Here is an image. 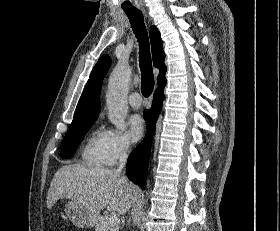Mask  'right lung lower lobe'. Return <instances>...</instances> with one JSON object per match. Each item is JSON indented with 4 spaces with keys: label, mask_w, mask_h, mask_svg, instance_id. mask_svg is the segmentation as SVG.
Listing matches in <instances>:
<instances>
[{
    "label": "right lung lower lobe",
    "mask_w": 280,
    "mask_h": 231,
    "mask_svg": "<svg viewBox=\"0 0 280 231\" xmlns=\"http://www.w3.org/2000/svg\"><path fill=\"white\" fill-rule=\"evenodd\" d=\"M163 88L157 89L153 96V104L150 110L144 111V119L147 122V134L128 157L126 172L129 179L143 189L146 185V175L151 151V137L155 123L162 108L164 98Z\"/></svg>",
    "instance_id": "98d812e1"
}]
</instances>
